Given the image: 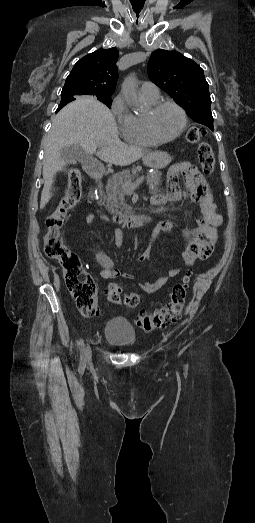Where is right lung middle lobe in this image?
Returning a JSON list of instances; mask_svg holds the SVG:
<instances>
[{"mask_svg":"<svg viewBox=\"0 0 255 523\" xmlns=\"http://www.w3.org/2000/svg\"><path fill=\"white\" fill-rule=\"evenodd\" d=\"M63 98H70L72 100H74V98L70 95H67V94H61V99ZM99 101L103 102L105 105H107L109 108H111V104H112V99L111 97H99L97 98Z\"/></svg>","mask_w":255,"mask_h":523,"instance_id":"obj_1","label":"right lung middle lobe"}]
</instances>
